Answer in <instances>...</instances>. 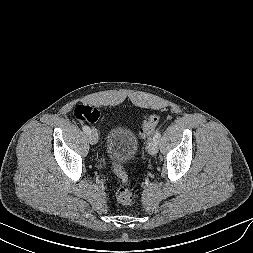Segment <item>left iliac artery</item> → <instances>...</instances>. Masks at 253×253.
<instances>
[{
  "label": "left iliac artery",
  "instance_id": "obj_1",
  "mask_svg": "<svg viewBox=\"0 0 253 253\" xmlns=\"http://www.w3.org/2000/svg\"><path fill=\"white\" fill-rule=\"evenodd\" d=\"M160 137H161V133H160V131H157V132H155L153 139H155L159 142Z\"/></svg>",
  "mask_w": 253,
  "mask_h": 253
}]
</instances>
